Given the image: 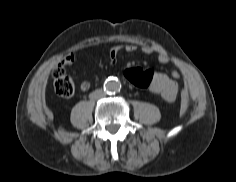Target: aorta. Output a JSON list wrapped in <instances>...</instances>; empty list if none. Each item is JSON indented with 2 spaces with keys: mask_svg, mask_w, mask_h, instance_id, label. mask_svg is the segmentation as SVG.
Segmentation results:
<instances>
[{
  "mask_svg": "<svg viewBox=\"0 0 236 182\" xmlns=\"http://www.w3.org/2000/svg\"><path fill=\"white\" fill-rule=\"evenodd\" d=\"M104 87L106 91L111 92V93H116L120 90L121 84L116 79H108L106 80Z\"/></svg>",
  "mask_w": 236,
  "mask_h": 182,
  "instance_id": "obj_1",
  "label": "aorta"
}]
</instances>
